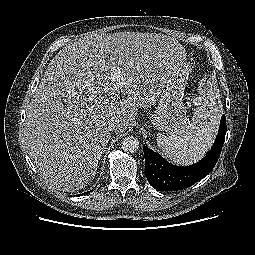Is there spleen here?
Segmentation results:
<instances>
[{"label":"spleen","mask_w":255,"mask_h":255,"mask_svg":"<svg viewBox=\"0 0 255 255\" xmlns=\"http://www.w3.org/2000/svg\"><path fill=\"white\" fill-rule=\"evenodd\" d=\"M218 110L196 111L192 131L181 136L157 135V144L173 162L189 165L201 159L213 143L219 124Z\"/></svg>","instance_id":"spleen-1"}]
</instances>
